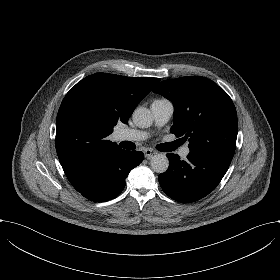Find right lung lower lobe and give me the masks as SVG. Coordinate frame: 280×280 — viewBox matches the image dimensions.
<instances>
[{"label": "right lung lower lobe", "mask_w": 280, "mask_h": 280, "mask_svg": "<svg viewBox=\"0 0 280 280\" xmlns=\"http://www.w3.org/2000/svg\"><path fill=\"white\" fill-rule=\"evenodd\" d=\"M143 158L144 154L138 151H113L91 160L70 183L91 201L111 200L122 192L129 172L138 166Z\"/></svg>", "instance_id": "98d812e1"}]
</instances>
